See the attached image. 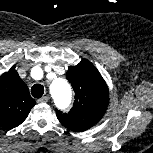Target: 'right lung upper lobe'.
Returning a JSON list of instances; mask_svg holds the SVG:
<instances>
[{
	"mask_svg": "<svg viewBox=\"0 0 153 153\" xmlns=\"http://www.w3.org/2000/svg\"><path fill=\"white\" fill-rule=\"evenodd\" d=\"M36 104L15 68L0 76V126L10 130L20 125Z\"/></svg>",
	"mask_w": 153,
	"mask_h": 153,
	"instance_id": "1",
	"label": "right lung upper lobe"
}]
</instances>
